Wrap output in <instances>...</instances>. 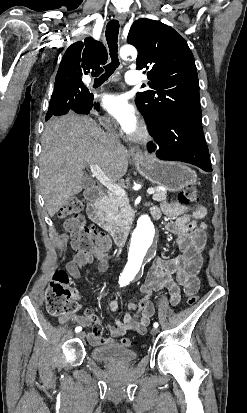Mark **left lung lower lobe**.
<instances>
[{"label": "left lung lower lobe", "mask_w": 247, "mask_h": 413, "mask_svg": "<svg viewBox=\"0 0 247 413\" xmlns=\"http://www.w3.org/2000/svg\"><path fill=\"white\" fill-rule=\"evenodd\" d=\"M149 131L156 144L150 142L148 151H156L159 159L187 162L212 171L201 120L169 116Z\"/></svg>", "instance_id": "left-lung-lower-lobe-1"}]
</instances>
